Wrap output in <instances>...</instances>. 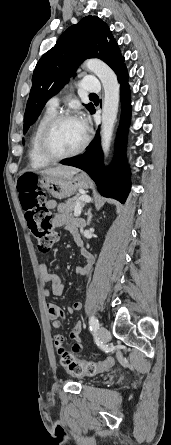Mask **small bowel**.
Returning <instances> with one entry per match:
<instances>
[{"label":"small bowel","instance_id":"c3829d8e","mask_svg":"<svg viewBox=\"0 0 171 445\" xmlns=\"http://www.w3.org/2000/svg\"><path fill=\"white\" fill-rule=\"evenodd\" d=\"M47 207L49 209H55L57 207V203L54 200H50L47 202ZM52 224L55 227H65L67 228L75 238L77 244L82 247V242L79 236V229L83 226L84 221L80 218H72L71 215L67 212H59L53 216ZM83 255L86 257L87 264L85 266H80L77 268V274L86 279L89 273L92 270L94 264L93 256L83 249ZM39 274L40 281L44 286V295L49 296L52 294L53 296L60 297L64 294L65 284L59 277L57 273L49 272L44 264L39 266ZM49 287V288H48ZM81 309V302L76 301L69 307V313L75 314ZM46 311L49 319L52 321V325L54 328H59L61 325V320L65 318V313L63 309L51 302L46 303ZM81 333V323L76 322L74 326L70 330V337L74 340L71 349L73 352H78L82 350L83 343L80 339ZM64 338L60 334L54 335V346L57 352H60L64 349L63 347Z\"/></svg>","mask_w":171,"mask_h":445}]
</instances>
